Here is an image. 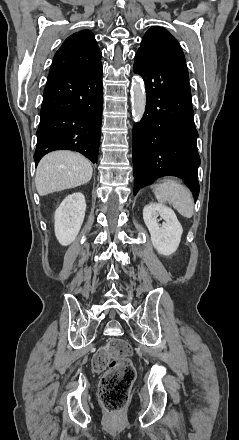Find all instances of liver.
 Listing matches in <instances>:
<instances>
[{"instance_id": "liver-1", "label": "liver", "mask_w": 239, "mask_h": 440, "mask_svg": "<svg viewBox=\"0 0 239 440\" xmlns=\"http://www.w3.org/2000/svg\"><path fill=\"white\" fill-rule=\"evenodd\" d=\"M91 162L81 154L59 150L42 158L35 176L36 190L39 196L51 192L77 188L87 184L92 178Z\"/></svg>"}]
</instances>
